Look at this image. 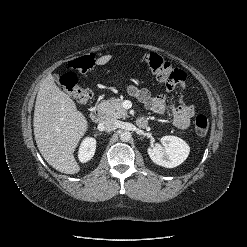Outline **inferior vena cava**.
Here are the masks:
<instances>
[{"label": "inferior vena cava", "instance_id": "obj_1", "mask_svg": "<svg viewBox=\"0 0 247 247\" xmlns=\"http://www.w3.org/2000/svg\"><path fill=\"white\" fill-rule=\"evenodd\" d=\"M102 127L104 130H106L108 132L113 131L117 128V121L112 117H107L102 122Z\"/></svg>", "mask_w": 247, "mask_h": 247}]
</instances>
